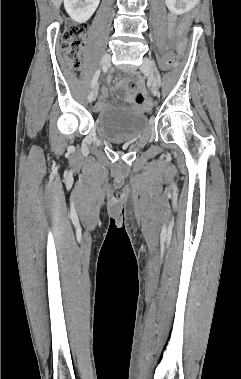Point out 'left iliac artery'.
Here are the masks:
<instances>
[{
  "label": "left iliac artery",
  "instance_id": "1",
  "mask_svg": "<svg viewBox=\"0 0 241 379\" xmlns=\"http://www.w3.org/2000/svg\"><path fill=\"white\" fill-rule=\"evenodd\" d=\"M155 71H156V75H157V78H158V81H159V85H160V84H161V77H160V74H159V72H158L157 69H155Z\"/></svg>",
  "mask_w": 241,
  "mask_h": 379
}]
</instances>
